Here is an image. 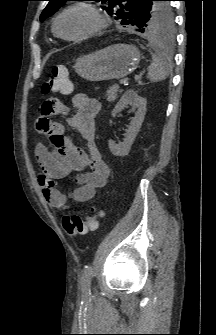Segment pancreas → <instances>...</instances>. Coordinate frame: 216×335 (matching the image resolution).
I'll return each mask as SVG.
<instances>
[{
    "instance_id": "pancreas-1",
    "label": "pancreas",
    "mask_w": 216,
    "mask_h": 335,
    "mask_svg": "<svg viewBox=\"0 0 216 335\" xmlns=\"http://www.w3.org/2000/svg\"><path fill=\"white\" fill-rule=\"evenodd\" d=\"M119 92H121L119 90V85L115 84L111 86L106 93L107 101L111 103L114 102L117 99Z\"/></svg>"
}]
</instances>
